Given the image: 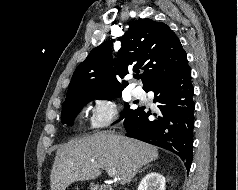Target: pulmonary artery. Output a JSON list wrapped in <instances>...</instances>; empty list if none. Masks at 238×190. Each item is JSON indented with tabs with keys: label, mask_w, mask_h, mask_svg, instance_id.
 <instances>
[{
	"label": "pulmonary artery",
	"mask_w": 238,
	"mask_h": 190,
	"mask_svg": "<svg viewBox=\"0 0 238 190\" xmlns=\"http://www.w3.org/2000/svg\"><path fill=\"white\" fill-rule=\"evenodd\" d=\"M132 94L136 97V98H142L144 97V91L139 88V87H136L132 90Z\"/></svg>",
	"instance_id": "obj_1"
}]
</instances>
